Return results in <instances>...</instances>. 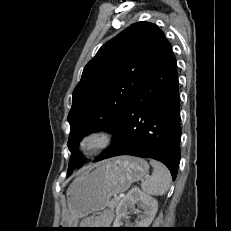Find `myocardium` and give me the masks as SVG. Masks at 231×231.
I'll use <instances>...</instances> for the list:
<instances>
[{"label":"myocardium","mask_w":231,"mask_h":231,"mask_svg":"<svg viewBox=\"0 0 231 231\" xmlns=\"http://www.w3.org/2000/svg\"><path fill=\"white\" fill-rule=\"evenodd\" d=\"M113 134L107 129H94L83 135L78 142V149L82 154L93 155L111 145ZM92 143V145H88Z\"/></svg>","instance_id":"f54148a6"}]
</instances>
